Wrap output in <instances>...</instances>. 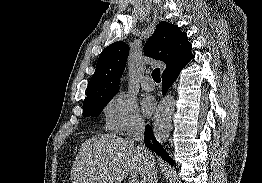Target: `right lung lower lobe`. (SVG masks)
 Wrapping results in <instances>:
<instances>
[{
	"mask_svg": "<svg viewBox=\"0 0 262 183\" xmlns=\"http://www.w3.org/2000/svg\"><path fill=\"white\" fill-rule=\"evenodd\" d=\"M179 73H180V71L172 73V74H166V75L162 76L163 94H166L169 87L173 84V82L178 77ZM144 143L147 147H149L151 150H153L161 158H163L164 160L168 161L171 164H174V161L169 157V155L166 153V151L162 148V146L155 139L154 134L152 132V128L149 125H146V127H145Z\"/></svg>",
	"mask_w": 262,
	"mask_h": 183,
	"instance_id": "98d812e1",
	"label": "right lung lower lobe"
}]
</instances>
